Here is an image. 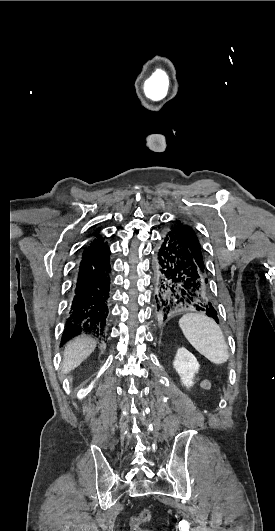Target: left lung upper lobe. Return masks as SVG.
I'll return each mask as SVG.
<instances>
[{"mask_svg":"<svg viewBox=\"0 0 275 531\" xmlns=\"http://www.w3.org/2000/svg\"><path fill=\"white\" fill-rule=\"evenodd\" d=\"M173 227H175L179 231L181 236L184 238L197 265L204 273L205 266L201 252V245L194 230L189 225L185 224L180 220H176V223L173 225Z\"/></svg>","mask_w":275,"mask_h":531,"instance_id":"1","label":"left lung upper lobe"}]
</instances>
